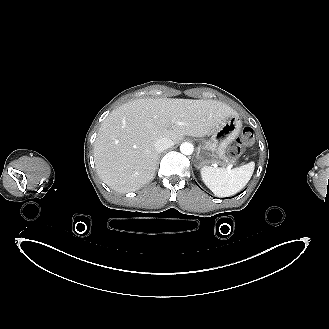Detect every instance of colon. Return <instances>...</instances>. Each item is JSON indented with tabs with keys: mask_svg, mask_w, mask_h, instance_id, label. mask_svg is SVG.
<instances>
[{
	"mask_svg": "<svg viewBox=\"0 0 329 329\" xmlns=\"http://www.w3.org/2000/svg\"><path fill=\"white\" fill-rule=\"evenodd\" d=\"M254 142V134H253V130L250 128H245L239 138V145L242 146H250L252 145ZM239 146H237L236 148V153H239Z\"/></svg>",
	"mask_w": 329,
	"mask_h": 329,
	"instance_id": "obj_1",
	"label": "colon"
}]
</instances>
